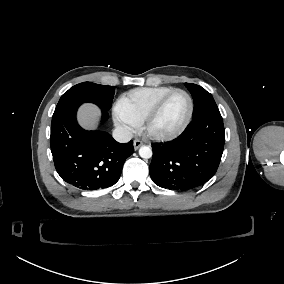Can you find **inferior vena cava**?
<instances>
[{
    "instance_id": "inferior-vena-cava-1",
    "label": "inferior vena cava",
    "mask_w": 284,
    "mask_h": 284,
    "mask_svg": "<svg viewBox=\"0 0 284 284\" xmlns=\"http://www.w3.org/2000/svg\"><path fill=\"white\" fill-rule=\"evenodd\" d=\"M132 137V133L126 127H117L113 130V138L120 143L129 142Z\"/></svg>"
}]
</instances>
